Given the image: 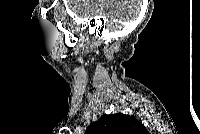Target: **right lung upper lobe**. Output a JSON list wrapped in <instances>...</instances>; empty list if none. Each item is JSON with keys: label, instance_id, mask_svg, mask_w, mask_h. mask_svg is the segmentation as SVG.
<instances>
[{"label": "right lung upper lobe", "instance_id": "right-lung-upper-lobe-1", "mask_svg": "<svg viewBox=\"0 0 200 134\" xmlns=\"http://www.w3.org/2000/svg\"><path fill=\"white\" fill-rule=\"evenodd\" d=\"M144 125L136 118L122 113L103 115L92 123L85 134H145Z\"/></svg>", "mask_w": 200, "mask_h": 134}]
</instances>
